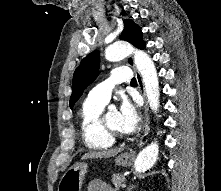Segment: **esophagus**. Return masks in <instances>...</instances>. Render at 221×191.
I'll list each match as a JSON object with an SVG mask.
<instances>
[{
	"instance_id": "1",
	"label": "esophagus",
	"mask_w": 221,
	"mask_h": 191,
	"mask_svg": "<svg viewBox=\"0 0 221 191\" xmlns=\"http://www.w3.org/2000/svg\"><path fill=\"white\" fill-rule=\"evenodd\" d=\"M128 60L133 65L132 57H130ZM135 74H136L137 82L139 85V89L144 97V127H143V135L139 141V146H143L147 142L148 133L150 130V127H149L150 121H149V114H148L149 109H148V104H147V100L145 96L144 83H143L142 77L136 69H135Z\"/></svg>"
}]
</instances>
